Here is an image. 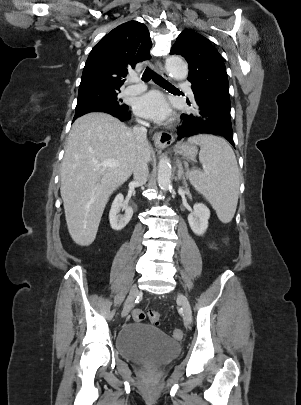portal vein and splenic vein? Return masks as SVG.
Here are the masks:
<instances>
[{
    "mask_svg": "<svg viewBox=\"0 0 301 405\" xmlns=\"http://www.w3.org/2000/svg\"><path fill=\"white\" fill-rule=\"evenodd\" d=\"M99 165L102 167L116 168L119 165V163L116 160H105V161L101 162Z\"/></svg>",
    "mask_w": 301,
    "mask_h": 405,
    "instance_id": "portal-vein-and-splenic-vein-1",
    "label": "portal vein and splenic vein"
}]
</instances>
